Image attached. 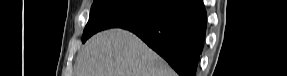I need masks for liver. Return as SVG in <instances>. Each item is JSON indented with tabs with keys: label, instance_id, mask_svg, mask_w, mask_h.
I'll return each instance as SVG.
<instances>
[{
	"label": "liver",
	"instance_id": "1",
	"mask_svg": "<svg viewBox=\"0 0 287 76\" xmlns=\"http://www.w3.org/2000/svg\"><path fill=\"white\" fill-rule=\"evenodd\" d=\"M75 76H176L141 39L123 29L91 37L78 53Z\"/></svg>",
	"mask_w": 287,
	"mask_h": 76
}]
</instances>
